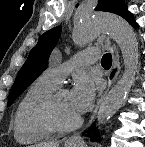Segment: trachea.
<instances>
[{"instance_id":"obj_1","label":"trachea","mask_w":145,"mask_h":147,"mask_svg":"<svg viewBox=\"0 0 145 147\" xmlns=\"http://www.w3.org/2000/svg\"><path fill=\"white\" fill-rule=\"evenodd\" d=\"M102 66H110L112 64V56L110 54H105L101 60Z\"/></svg>"}]
</instances>
